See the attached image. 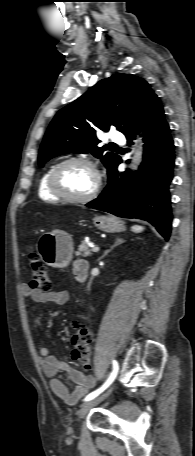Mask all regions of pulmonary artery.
<instances>
[{
  "instance_id": "1",
  "label": "pulmonary artery",
  "mask_w": 195,
  "mask_h": 456,
  "mask_svg": "<svg viewBox=\"0 0 195 456\" xmlns=\"http://www.w3.org/2000/svg\"><path fill=\"white\" fill-rule=\"evenodd\" d=\"M109 138L111 141L117 143H122L125 140L124 135L118 131H111L109 134Z\"/></svg>"
}]
</instances>
